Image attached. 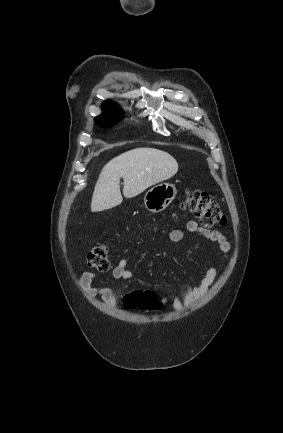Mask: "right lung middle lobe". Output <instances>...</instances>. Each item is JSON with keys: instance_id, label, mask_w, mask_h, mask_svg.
I'll list each match as a JSON object with an SVG mask.
<instances>
[{"instance_id": "1", "label": "right lung middle lobe", "mask_w": 283, "mask_h": 433, "mask_svg": "<svg viewBox=\"0 0 283 433\" xmlns=\"http://www.w3.org/2000/svg\"><path fill=\"white\" fill-rule=\"evenodd\" d=\"M122 118H123L122 113H113V114L98 116L95 118V121L98 125L107 128L113 126Z\"/></svg>"}]
</instances>
